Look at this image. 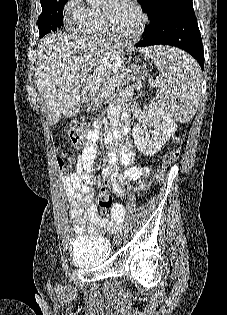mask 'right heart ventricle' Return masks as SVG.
<instances>
[{
	"label": "right heart ventricle",
	"instance_id": "1",
	"mask_svg": "<svg viewBox=\"0 0 227 315\" xmlns=\"http://www.w3.org/2000/svg\"><path fill=\"white\" fill-rule=\"evenodd\" d=\"M78 31L89 37H110L102 22L101 12L95 8H88L84 17L77 21Z\"/></svg>",
	"mask_w": 227,
	"mask_h": 315
}]
</instances>
